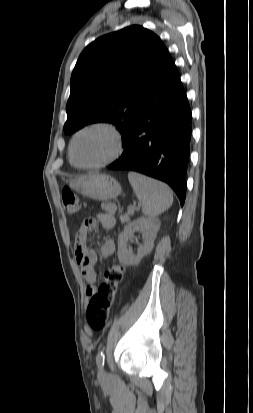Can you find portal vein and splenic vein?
I'll list each match as a JSON object with an SVG mask.
<instances>
[{"label":"portal vein and splenic vein","mask_w":253,"mask_h":413,"mask_svg":"<svg viewBox=\"0 0 253 413\" xmlns=\"http://www.w3.org/2000/svg\"><path fill=\"white\" fill-rule=\"evenodd\" d=\"M131 211L134 212V208H133V207L131 208Z\"/></svg>","instance_id":"1"}]
</instances>
